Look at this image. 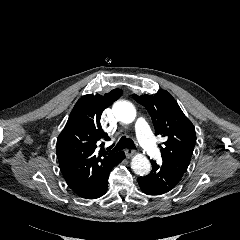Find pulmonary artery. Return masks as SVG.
Masks as SVG:
<instances>
[{"label": "pulmonary artery", "mask_w": 240, "mask_h": 240, "mask_svg": "<svg viewBox=\"0 0 240 240\" xmlns=\"http://www.w3.org/2000/svg\"><path fill=\"white\" fill-rule=\"evenodd\" d=\"M135 131L140 144L147 154L154 158L158 157L160 154L159 149L152 138L150 129L144 118L140 117L137 119L135 123Z\"/></svg>", "instance_id": "obj_1"}]
</instances>
